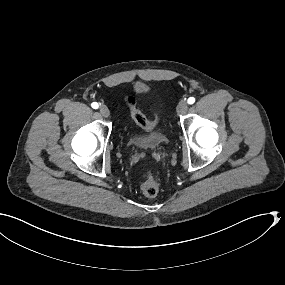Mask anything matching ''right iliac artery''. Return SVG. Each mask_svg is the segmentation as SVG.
<instances>
[{"mask_svg": "<svg viewBox=\"0 0 285 285\" xmlns=\"http://www.w3.org/2000/svg\"><path fill=\"white\" fill-rule=\"evenodd\" d=\"M91 106H92V108H94V109H97V108L99 107V105H98L97 102H93V103L91 104Z\"/></svg>", "mask_w": 285, "mask_h": 285, "instance_id": "1", "label": "right iliac artery"}]
</instances>
